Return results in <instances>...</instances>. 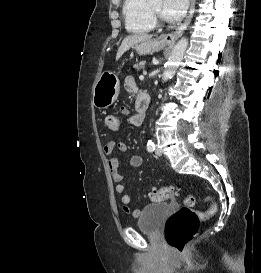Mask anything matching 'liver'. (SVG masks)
<instances>
[{"label":"liver","instance_id":"liver-1","mask_svg":"<svg viewBox=\"0 0 261 273\" xmlns=\"http://www.w3.org/2000/svg\"><path fill=\"white\" fill-rule=\"evenodd\" d=\"M151 38L152 35L139 33L125 37L120 47L118 48L116 58L119 59L127 50H129L134 45L146 40H150Z\"/></svg>","mask_w":261,"mask_h":273}]
</instances>
